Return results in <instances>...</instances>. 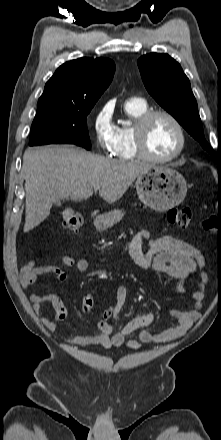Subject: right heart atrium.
I'll list each match as a JSON object with an SVG mask.
<instances>
[{"instance_id":"right-heart-atrium-1","label":"right heart atrium","mask_w":221,"mask_h":440,"mask_svg":"<svg viewBox=\"0 0 221 440\" xmlns=\"http://www.w3.org/2000/svg\"><path fill=\"white\" fill-rule=\"evenodd\" d=\"M92 129L97 147L105 153H112L116 140V126L112 121V109L108 105L96 112Z\"/></svg>"}]
</instances>
